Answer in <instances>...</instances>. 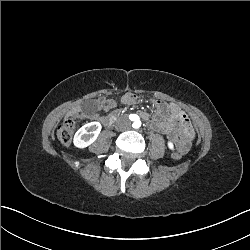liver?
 I'll list each match as a JSON object with an SVG mask.
<instances>
[{
	"mask_svg": "<svg viewBox=\"0 0 250 250\" xmlns=\"http://www.w3.org/2000/svg\"><path fill=\"white\" fill-rule=\"evenodd\" d=\"M75 110H71L70 112H68V116L71 115Z\"/></svg>",
	"mask_w": 250,
	"mask_h": 250,
	"instance_id": "1",
	"label": "liver"
}]
</instances>
